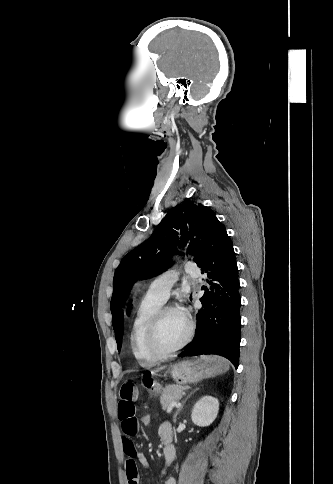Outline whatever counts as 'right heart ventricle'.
<instances>
[{
  "label": "right heart ventricle",
  "mask_w": 333,
  "mask_h": 484,
  "mask_svg": "<svg viewBox=\"0 0 333 484\" xmlns=\"http://www.w3.org/2000/svg\"><path fill=\"white\" fill-rule=\"evenodd\" d=\"M163 303L145 296L140 302L130 331V346L134 357L142 366H150L159 358L153 356L146 346V331L155 312Z\"/></svg>",
  "instance_id": "e07e8e85"
}]
</instances>
